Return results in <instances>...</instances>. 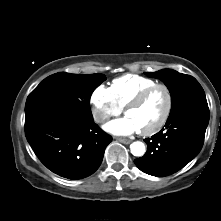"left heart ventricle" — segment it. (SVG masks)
Returning a JSON list of instances; mask_svg holds the SVG:
<instances>
[{
  "label": "left heart ventricle",
  "instance_id": "left-heart-ventricle-1",
  "mask_svg": "<svg viewBox=\"0 0 221 221\" xmlns=\"http://www.w3.org/2000/svg\"><path fill=\"white\" fill-rule=\"evenodd\" d=\"M167 106L166 92L156 89L141 105L130 109L127 117L131 118L139 130H147L155 126L162 118Z\"/></svg>",
  "mask_w": 221,
  "mask_h": 221
}]
</instances>
